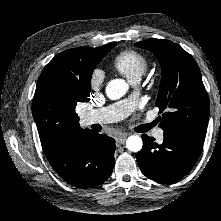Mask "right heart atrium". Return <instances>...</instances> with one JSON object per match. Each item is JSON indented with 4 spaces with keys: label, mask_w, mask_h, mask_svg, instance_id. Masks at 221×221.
<instances>
[{
    "label": "right heart atrium",
    "mask_w": 221,
    "mask_h": 221,
    "mask_svg": "<svg viewBox=\"0 0 221 221\" xmlns=\"http://www.w3.org/2000/svg\"><path fill=\"white\" fill-rule=\"evenodd\" d=\"M106 80V74L101 69H94L89 76V85L92 89H99Z\"/></svg>",
    "instance_id": "1"
}]
</instances>
